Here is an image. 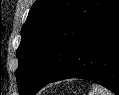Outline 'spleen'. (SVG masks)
Instances as JSON below:
<instances>
[{"mask_svg":"<svg viewBox=\"0 0 119 95\" xmlns=\"http://www.w3.org/2000/svg\"><path fill=\"white\" fill-rule=\"evenodd\" d=\"M89 95H113V94L103 86H100L98 84H92V90L89 92Z\"/></svg>","mask_w":119,"mask_h":95,"instance_id":"spleen-1","label":"spleen"}]
</instances>
